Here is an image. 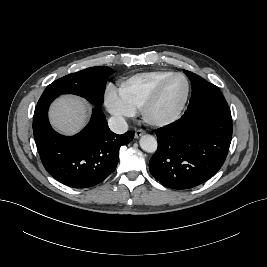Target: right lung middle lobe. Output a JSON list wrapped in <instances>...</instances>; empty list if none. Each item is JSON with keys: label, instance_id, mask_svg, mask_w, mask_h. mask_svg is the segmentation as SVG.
Here are the masks:
<instances>
[{"label": "right lung middle lobe", "instance_id": "1", "mask_svg": "<svg viewBox=\"0 0 267 267\" xmlns=\"http://www.w3.org/2000/svg\"><path fill=\"white\" fill-rule=\"evenodd\" d=\"M113 72L106 66L90 67L54 81L43 93L75 94L102 105L106 82Z\"/></svg>", "mask_w": 267, "mask_h": 267}]
</instances>
